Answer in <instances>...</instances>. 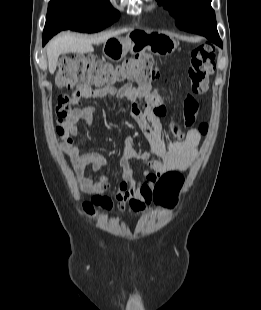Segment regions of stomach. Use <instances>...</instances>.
Masks as SVG:
<instances>
[{"mask_svg": "<svg viewBox=\"0 0 261 310\" xmlns=\"http://www.w3.org/2000/svg\"><path fill=\"white\" fill-rule=\"evenodd\" d=\"M177 47L175 39L160 31L135 29L125 38H110L104 43L103 51L108 59L121 61L128 51L147 50L157 56H168Z\"/></svg>", "mask_w": 261, "mask_h": 310, "instance_id": "stomach-1", "label": "stomach"}]
</instances>
